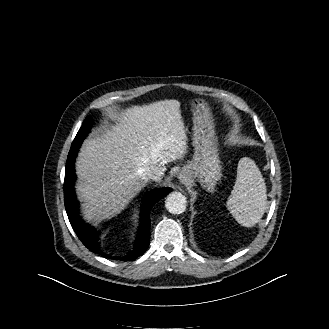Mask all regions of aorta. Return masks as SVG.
Returning <instances> with one entry per match:
<instances>
[{"label": "aorta", "mask_w": 329, "mask_h": 329, "mask_svg": "<svg viewBox=\"0 0 329 329\" xmlns=\"http://www.w3.org/2000/svg\"><path fill=\"white\" fill-rule=\"evenodd\" d=\"M186 197L180 192L170 193L165 201V207L171 214H181L186 210Z\"/></svg>", "instance_id": "1"}]
</instances>
